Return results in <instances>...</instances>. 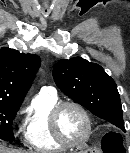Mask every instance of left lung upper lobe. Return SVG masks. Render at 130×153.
I'll list each match as a JSON object with an SVG mask.
<instances>
[{"mask_svg":"<svg viewBox=\"0 0 130 153\" xmlns=\"http://www.w3.org/2000/svg\"><path fill=\"white\" fill-rule=\"evenodd\" d=\"M53 78L65 95L125 130L117 85L100 65L81 57L62 59L53 68Z\"/></svg>","mask_w":130,"mask_h":153,"instance_id":"obj_1","label":"left lung upper lobe"}]
</instances>
